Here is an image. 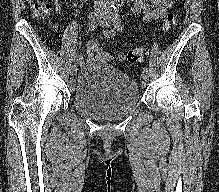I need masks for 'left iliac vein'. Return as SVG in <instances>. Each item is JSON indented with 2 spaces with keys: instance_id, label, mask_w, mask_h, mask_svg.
Wrapping results in <instances>:
<instances>
[{
  "instance_id": "4c4485c4",
  "label": "left iliac vein",
  "mask_w": 219,
  "mask_h": 192,
  "mask_svg": "<svg viewBox=\"0 0 219 192\" xmlns=\"http://www.w3.org/2000/svg\"><path fill=\"white\" fill-rule=\"evenodd\" d=\"M102 25L105 27H109L114 25V15L110 10H107L102 15ZM141 78L143 80V85H146L149 80L148 72H142Z\"/></svg>"
}]
</instances>
